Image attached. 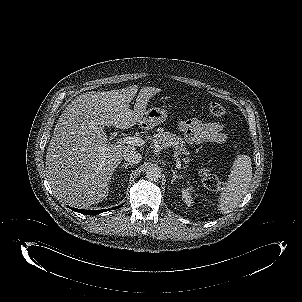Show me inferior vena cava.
<instances>
[{"label":"inferior vena cava","mask_w":302,"mask_h":302,"mask_svg":"<svg viewBox=\"0 0 302 302\" xmlns=\"http://www.w3.org/2000/svg\"><path fill=\"white\" fill-rule=\"evenodd\" d=\"M123 158L130 164H137L142 160V155L134 149H128L123 153Z\"/></svg>","instance_id":"1"}]
</instances>
